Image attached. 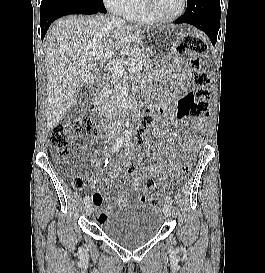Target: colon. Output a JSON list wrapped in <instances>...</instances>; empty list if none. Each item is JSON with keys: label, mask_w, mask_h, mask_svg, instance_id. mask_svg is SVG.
Instances as JSON below:
<instances>
[{"label": "colon", "mask_w": 265, "mask_h": 273, "mask_svg": "<svg viewBox=\"0 0 265 273\" xmlns=\"http://www.w3.org/2000/svg\"><path fill=\"white\" fill-rule=\"evenodd\" d=\"M205 50L206 44L203 39L193 33L185 35L177 45V52L179 54H191L189 64L191 70L195 72L193 83L196 87L195 91L187 93L178 102L177 117L181 120L202 117L209 110L210 90L208 86L210 79L208 74L201 70L200 59L198 57V55L204 53ZM156 121L157 116L154 111L148 112L141 118L136 132V137L139 142L143 140L144 133L152 127ZM96 134L97 127L93 119L84 117L79 121L60 122L55 125L50 132L49 141L59 156L66 157L72 149V142L76 135L80 139H90L95 137ZM189 140L192 141V143H189L188 147L190 151H193V148L198 147V144L195 143L198 137L190 133ZM127 170L130 174H134L137 172V165L131 164ZM189 170L190 164L185 163L183 165V171L188 172ZM73 185L75 188H80L82 182L78 178H75ZM144 188L147 191L156 190L157 182L152 178H146Z\"/></svg>", "instance_id": "obj_1"}]
</instances>
